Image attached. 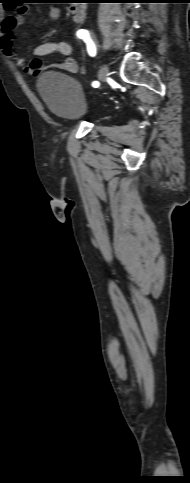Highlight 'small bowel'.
<instances>
[{"mask_svg":"<svg viewBox=\"0 0 190 483\" xmlns=\"http://www.w3.org/2000/svg\"><path fill=\"white\" fill-rule=\"evenodd\" d=\"M27 10L28 8L26 6H20L15 14L8 15L2 20L0 28V46L5 55L8 56L16 66L22 68L24 72L34 77H37L45 68L58 69L69 74H75L78 71V64L71 57L73 47L65 41L51 40L37 45L33 50L35 58L30 63H26L23 58L14 53L12 33L17 28L24 25V17ZM50 16L52 19H57L59 17V10L56 7H51ZM53 53L61 54L65 58L48 67H44V61L41 57Z\"/></svg>","mask_w":190,"mask_h":483,"instance_id":"c3829d8e","label":"small bowel"}]
</instances>
